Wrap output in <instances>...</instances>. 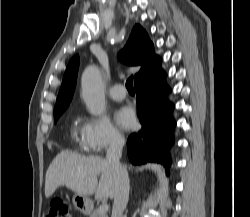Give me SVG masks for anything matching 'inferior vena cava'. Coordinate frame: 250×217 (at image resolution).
Listing matches in <instances>:
<instances>
[{"label":"inferior vena cava","mask_w":250,"mask_h":217,"mask_svg":"<svg viewBox=\"0 0 250 217\" xmlns=\"http://www.w3.org/2000/svg\"><path fill=\"white\" fill-rule=\"evenodd\" d=\"M124 144L125 139L122 136H114L107 150L105 159L110 165L115 179L112 217H124L123 212L128 203L129 177L126 168L120 163Z\"/></svg>","instance_id":"obj_1"}]
</instances>
